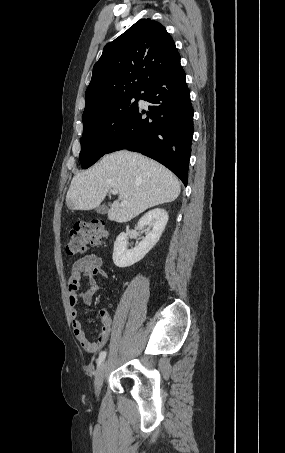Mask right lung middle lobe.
<instances>
[{"instance_id":"dd1d6c3e","label":"right lung middle lobe","mask_w":285,"mask_h":453,"mask_svg":"<svg viewBox=\"0 0 285 453\" xmlns=\"http://www.w3.org/2000/svg\"><path fill=\"white\" fill-rule=\"evenodd\" d=\"M139 99L141 93L126 94L83 113L84 130L79 155L82 168L90 167L108 153L138 110Z\"/></svg>"}]
</instances>
